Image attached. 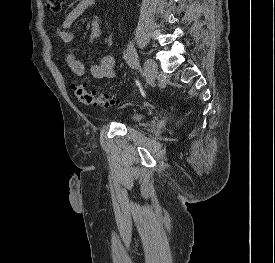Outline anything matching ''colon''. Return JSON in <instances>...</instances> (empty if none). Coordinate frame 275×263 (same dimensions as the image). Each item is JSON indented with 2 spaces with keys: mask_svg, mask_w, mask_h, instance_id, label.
I'll return each instance as SVG.
<instances>
[{
  "mask_svg": "<svg viewBox=\"0 0 275 263\" xmlns=\"http://www.w3.org/2000/svg\"><path fill=\"white\" fill-rule=\"evenodd\" d=\"M48 10L58 12L61 10L64 0H45ZM74 96L83 104L95 107H110L118 103V100L108 94H95L89 91L85 84L79 81L71 83Z\"/></svg>",
  "mask_w": 275,
  "mask_h": 263,
  "instance_id": "obj_1",
  "label": "colon"
}]
</instances>
